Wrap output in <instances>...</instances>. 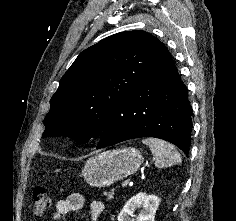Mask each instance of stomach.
<instances>
[{
	"instance_id": "stomach-1",
	"label": "stomach",
	"mask_w": 236,
	"mask_h": 221,
	"mask_svg": "<svg viewBox=\"0 0 236 221\" xmlns=\"http://www.w3.org/2000/svg\"><path fill=\"white\" fill-rule=\"evenodd\" d=\"M142 162L143 157L136 148L108 150L89 158L82 175L90 186L103 188L135 173Z\"/></svg>"
}]
</instances>
